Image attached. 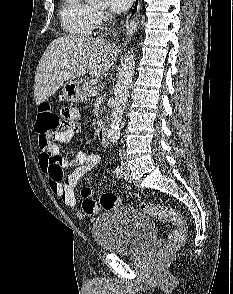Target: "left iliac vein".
I'll use <instances>...</instances> for the list:
<instances>
[{"instance_id": "1", "label": "left iliac vein", "mask_w": 233, "mask_h": 294, "mask_svg": "<svg viewBox=\"0 0 233 294\" xmlns=\"http://www.w3.org/2000/svg\"><path fill=\"white\" fill-rule=\"evenodd\" d=\"M123 177L126 181H131V174L127 167H124Z\"/></svg>"}]
</instances>
